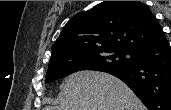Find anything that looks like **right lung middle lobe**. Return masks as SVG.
Masks as SVG:
<instances>
[{
  "label": "right lung middle lobe",
  "mask_w": 171,
  "mask_h": 110,
  "mask_svg": "<svg viewBox=\"0 0 171 110\" xmlns=\"http://www.w3.org/2000/svg\"><path fill=\"white\" fill-rule=\"evenodd\" d=\"M134 61L135 52L124 48L97 49L57 56L49 62L45 82H52L79 70L107 72L115 68H125Z\"/></svg>",
  "instance_id": "dd1d6c3e"
}]
</instances>
